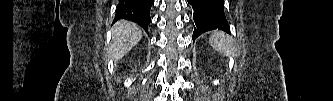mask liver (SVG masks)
Wrapping results in <instances>:
<instances>
[{"label":"liver","instance_id":"obj_1","mask_svg":"<svg viewBox=\"0 0 333 101\" xmlns=\"http://www.w3.org/2000/svg\"><path fill=\"white\" fill-rule=\"evenodd\" d=\"M142 38L141 28L126 20L118 21L112 28L110 57L117 61L128 53Z\"/></svg>","mask_w":333,"mask_h":101}]
</instances>
